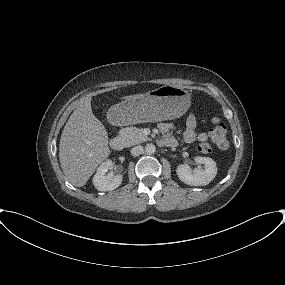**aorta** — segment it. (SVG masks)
<instances>
[{
	"label": "aorta",
	"instance_id": "762f6f07",
	"mask_svg": "<svg viewBox=\"0 0 285 285\" xmlns=\"http://www.w3.org/2000/svg\"><path fill=\"white\" fill-rule=\"evenodd\" d=\"M145 151H146L147 154L152 155V154L155 153L156 147H155V145L152 144V143H151V144H147V145L145 146Z\"/></svg>",
	"mask_w": 285,
	"mask_h": 285
}]
</instances>
